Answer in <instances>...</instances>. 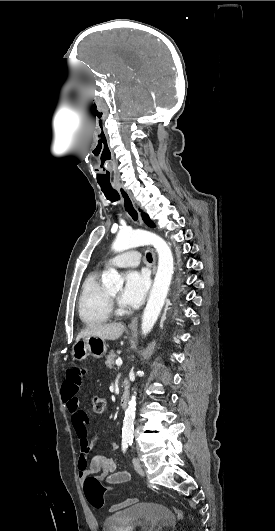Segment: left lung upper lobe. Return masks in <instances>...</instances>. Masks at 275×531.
<instances>
[{
    "instance_id": "obj_1",
    "label": "left lung upper lobe",
    "mask_w": 275,
    "mask_h": 531,
    "mask_svg": "<svg viewBox=\"0 0 275 531\" xmlns=\"http://www.w3.org/2000/svg\"><path fill=\"white\" fill-rule=\"evenodd\" d=\"M142 217H143L144 222H145L148 226H150V227H153V226H154V223L150 220V218H149L146 214L142 213Z\"/></svg>"
}]
</instances>
